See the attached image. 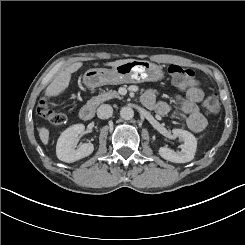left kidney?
I'll list each match as a JSON object with an SVG mask.
<instances>
[{
  "label": "left kidney",
  "mask_w": 245,
  "mask_h": 245,
  "mask_svg": "<svg viewBox=\"0 0 245 245\" xmlns=\"http://www.w3.org/2000/svg\"><path fill=\"white\" fill-rule=\"evenodd\" d=\"M172 134L182 141V144L180 145L181 151H174L163 146L158 149L160 157L174 163H186L192 161L197 148L195 136L182 129H173Z\"/></svg>",
  "instance_id": "5707ae66"
}]
</instances>
